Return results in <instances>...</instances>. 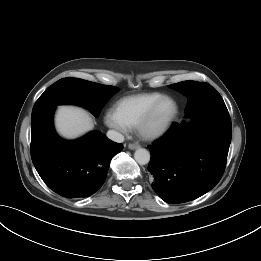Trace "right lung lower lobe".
<instances>
[{"mask_svg":"<svg viewBox=\"0 0 261 261\" xmlns=\"http://www.w3.org/2000/svg\"><path fill=\"white\" fill-rule=\"evenodd\" d=\"M56 106L31 118V158L45 184L66 198L88 197L105 182L110 161L123 146L100 132L65 141L54 131Z\"/></svg>","mask_w":261,"mask_h":261,"instance_id":"right-lung-lower-lobe-1","label":"right lung lower lobe"}]
</instances>
